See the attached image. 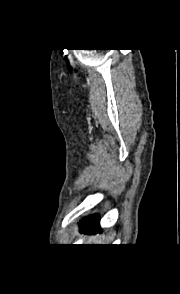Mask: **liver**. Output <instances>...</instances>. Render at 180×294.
Returning a JSON list of instances; mask_svg holds the SVG:
<instances>
[{"label":"liver","mask_w":180,"mask_h":294,"mask_svg":"<svg viewBox=\"0 0 180 294\" xmlns=\"http://www.w3.org/2000/svg\"><path fill=\"white\" fill-rule=\"evenodd\" d=\"M90 242H92L93 244H99L100 242H102V239L99 235L93 237L92 239H90Z\"/></svg>","instance_id":"obj_1"}]
</instances>
